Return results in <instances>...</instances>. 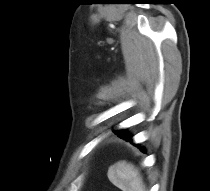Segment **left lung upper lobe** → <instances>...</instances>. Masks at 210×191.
I'll list each match as a JSON object with an SVG mask.
<instances>
[{
	"instance_id": "1",
	"label": "left lung upper lobe",
	"mask_w": 210,
	"mask_h": 191,
	"mask_svg": "<svg viewBox=\"0 0 210 191\" xmlns=\"http://www.w3.org/2000/svg\"><path fill=\"white\" fill-rule=\"evenodd\" d=\"M115 134H117L120 137V136L126 135L127 132H125L124 130H120V131H116Z\"/></svg>"
}]
</instances>
